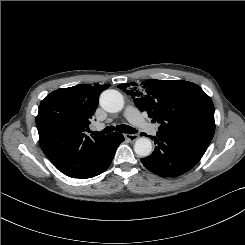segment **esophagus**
I'll use <instances>...</instances> for the list:
<instances>
[{"mask_svg": "<svg viewBox=\"0 0 245 245\" xmlns=\"http://www.w3.org/2000/svg\"><path fill=\"white\" fill-rule=\"evenodd\" d=\"M124 137L126 140L130 141V142H134L135 140L138 139V135L137 134H124Z\"/></svg>", "mask_w": 245, "mask_h": 245, "instance_id": "34e87169", "label": "esophagus"}]
</instances>
